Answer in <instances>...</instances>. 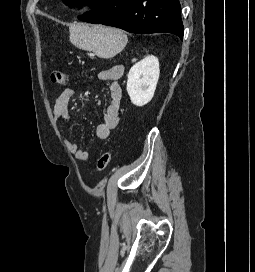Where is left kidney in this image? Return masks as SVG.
Segmentation results:
<instances>
[{"instance_id":"5707ae66","label":"left kidney","mask_w":255,"mask_h":272,"mask_svg":"<svg viewBox=\"0 0 255 272\" xmlns=\"http://www.w3.org/2000/svg\"><path fill=\"white\" fill-rule=\"evenodd\" d=\"M159 74V60L153 55L145 57L131 67L128 73L127 92L134 105L141 107L152 100Z\"/></svg>"}]
</instances>
